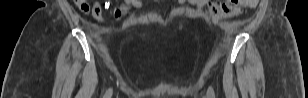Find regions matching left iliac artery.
<instances>
[{
    "label": "left iliac artery",
    "instance_id": "44dca946",
    "mask_svg": "<svg viewBox=\"0 0 308 98\" xmlns=\"http://www.w3.org/2000/svg\"><path fill=\"white\" fill-rule=\"evenodd\" d=\"M207 95H208V98H215V93H214V89L212 86H209Z\"/></svg>",
    "mask_w": 308,
    "mask_h": 98
}]
</instances>
